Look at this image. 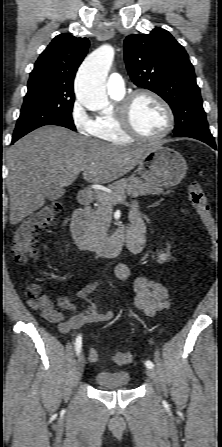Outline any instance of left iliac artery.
<instances>
[{"instance_id":"obj_1","label":"left iliac artery","mask_w":222,"mask_h":447,"mask_svg":"<svg viewBox=\"0 0 222 447\" xmlns=\"http://www.w3.org/2000/svg\"><path fill=\"white\" fill-rule=\"evenodd\" d=\"M145 365H146L147 368H153L154 367L153 363L150 360H147L145 362Z\"/></svg>"}]
</instances>
